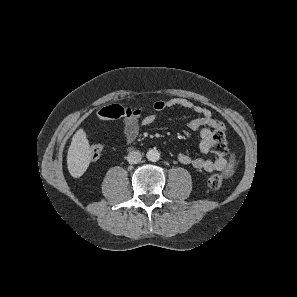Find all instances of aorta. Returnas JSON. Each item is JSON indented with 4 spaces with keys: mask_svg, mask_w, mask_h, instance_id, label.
Listing matches in <instances>:
<instances>
[{
    "mask_svg": "<svg viewBox=\"0 0 297 297\" xmlns=\"http://www.w3.org/2000/svg\"><path fill=\"white\" fill-rule=\"evenodd\" d=\"M146 157L151 162H156L160 159V153L159 151L154 148L147 151Z\"/></svg>",
    "mask_w": 297,
    "mask_h": 297,
    "instance_id": "obj_1",
    "label": "aorta"
}]
</instances>
